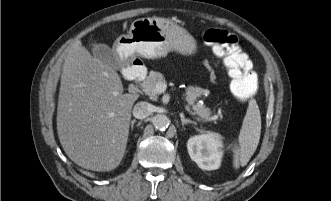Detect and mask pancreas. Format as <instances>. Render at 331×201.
Returning <instances> with one entry per match:
<instances>
[{
	"label": "pancreas",
	"instance_id": "pancreas-1",
	"mask_svg": "<svg viewBox=\"0 0 331 201\" xmlns=\"http://www.w3.org/2000/svg\"><path fill=\"white\" fill-rule=\"evenodd\" d=\"M158 82H165L162 73L151 71L149 76L143 81L141 87L143 91L153 100H157L158 92L155 91V86ZM209 94V91L200 87H189L186 90V100L192 105L194 113L199 116L203 121L211 120V110L205 107L204 104L197 102V99L202 95ZM218 117V116H217Z\"/></svg>",
	"mask_w": 331,
	"mask_h": 201
}]
</instances>
